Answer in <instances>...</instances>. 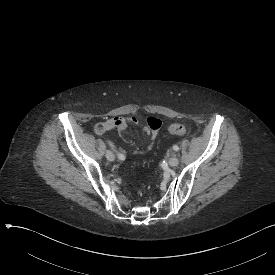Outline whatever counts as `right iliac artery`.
Wrapping results in <instances>:
<instances>
[{"mask_svg":"<svg viewBox=\"0 0 275 275\" xmlns=\"http://www.w3.org/2000/svg\"><path fill=\"white\" fill-rule=\"evenodd\" d=\"M111 144V143H110ZM112 145V144H111ZM113 147V146H112ZM118 158L120 159V160H125V157H124V155H122V154H118Z\"/></svg>","mask_w":275,"mask_h":275,"instance_id":"82829eb1","label":"right iliac artery"}]
</instances>
